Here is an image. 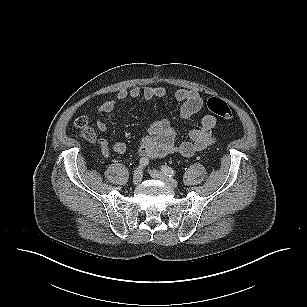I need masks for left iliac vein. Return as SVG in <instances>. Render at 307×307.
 <instances>
[{"mask_svg": "<svg viewBox=\"0 0 307 307\" xmlns=\"http://www.w3.org/2000/svg\"><path fill=\"white\" fill-rule=\"evenodd\" d=\"M151 175L155 179H158V180L164 182L165 184L169 185L170 187H172L174 189L178 187V183L175 179L166 176L165 174H163L160 171L152 170Z\"/></svg>", "mask_w": 307, "mask_h": 307, "instance_id": "left-iliac-vein-1", "label": "left iliac vein"}]
</instances>
